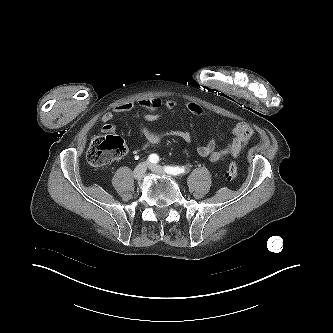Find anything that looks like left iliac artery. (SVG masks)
Masks as SVG:
<instances>
[{"mask_svg": "<svg viewBox=\"0 0 333 333\" xmlns=\"http://www.w3.org/2000/svg\"><path fill=\"white\" fill-rule=\"evenodd\" d=\"M165 172H167L168 174H172V175H180V174H184L186 172V168L185 167H179V166H165L164 167Z\"/></svg>", "mask_w": 333, "mask_h": 333, "instance_id": "44dca946", "label": "left iliac artery"}]
</instances>
